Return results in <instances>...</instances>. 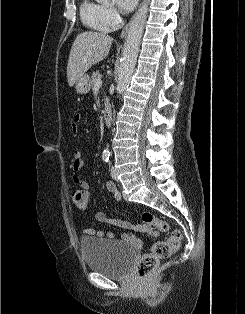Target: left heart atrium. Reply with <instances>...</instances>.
I'll return each mask as SVG.
<instances>
[{"label":"left heart atrium","mask_w":245,"mask_h":314,"mask_svg":"<svg viewBox=\"0 0 245 314\" xmlns=\"http://www.w3.org/2000/svg\"><path fill=\"white\" fill-rule=\"evenodd\" d=\"M137 3V0H116V4L122 11H131Z\"/></svg>","instance_id":"obj_1"}]
</instances>
